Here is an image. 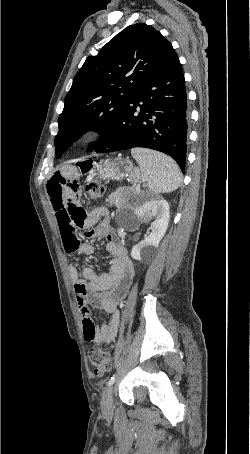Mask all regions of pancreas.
Segmentation results:
<instances>
[{
	"instance_id": "1",
	"label": "pancreas",
	"mask_w": 250,
	"mask_h": 454,
	"mask_svg": "<svg viewBox=\"0 0 250 454\" xmlns=\"http://www.w3.org/2000/svg\"><path fill=\"white\" fill-rule=\"evenodd\" d=\"M106 203L108 206H120L123 203V199L121 198L119 191L111 193L106 199Z\"/></svg>"
}]
</instances>
